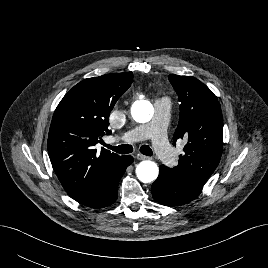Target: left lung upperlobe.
Here are the masks:
<instances>
[{"label":"left lung upper lobe","instance_id":"obj_1","mask_svg":"<svg viewBox=\"0 0 268 268\" xmlns=\"http://www.w3.org/2000/svg\"><path fill=\"white\" fill-rule=\"evenodd\" d=\"M168 78L181 102L174 145L177 140H183L186 145L177 167H163L173 181L201 193L222 155L221 107L217 97L198 79L174 74Z\"/></svg>","mask_w":268,"mask_h":268}]
</instances>
